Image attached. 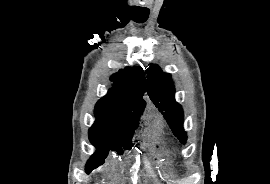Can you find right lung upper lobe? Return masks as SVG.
<instances>
[{
	"label": "right lung upper lobe",
	"mask_w": 270,
	"mask_h": 184,
	"mask_svg": "<svg viewBox=\"0 0 270 184\" xmlns=\"http://www.w3.org/2000/svg\"><path fill=\"white\" fill-rule=\"evenodd\" d=\"M113 88L95 106L97 122L129 124L140 120L146 102L145 75L141 68L119 70L111 79Z\"/></svg>",
	"instance_id": "1"
}]
</instances>
